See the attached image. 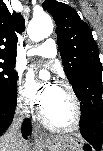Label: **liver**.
<instances>
[{
    "label": "liver",
    "mask_w": 103,
    "mask_h": 151,
    "mask_svg": "<svg viewBox=\"0 0 103 151\" xmlns=\"http://www.w3.org/2000/svg\"><path fill=\"white\" fill-rule=\"evenodd\" d=\"M25 144L20 135L16 137V141L10 142L6 139V135L1 138V151H23Z\"/></svg>",
    "instance_id": "6515ba94"
}]
</instances>
